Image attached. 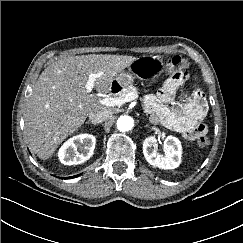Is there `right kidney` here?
<instances>
[{"instance_id": "1", "label": "right kidney", "mask_w": 243, "mask_h": 243, "mask_svg": "<svg viewBox=\"0 0 243 243\" xmlns=\"http://www.w3.org/2000/svg\"><path fill=\"white\" fill-rule=\"evenodd\" d=\"M96 138L80 134L67 140L59 149L58 157L64 165H77L87 161L94 152Z\"/></svg>"}]
</instances>
